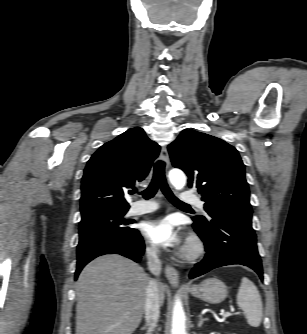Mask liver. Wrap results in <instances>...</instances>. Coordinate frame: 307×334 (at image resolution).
Listing matches in <instances>:
<instances>
[{
  "label": "liver",
  "instance_id": "1",
  "mask_svg": "<svg viewBox=\"0 0 307 334\" xmlns=\"http://www.w3.org/2000/svg\"><path fill=\"white\" fill-rule=\"evenodd\" d=\"M150 277L117 254L87 264L76 283V334H132L139 326ZM161 305L165 285L159 283Z\"/></svg>",
  "mask_w": 307,
  "mask_h": 334
}]
</instances>
